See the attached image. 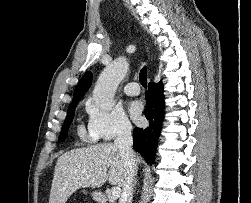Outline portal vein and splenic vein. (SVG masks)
<instances>
[{
  "mask_svg": "<svg viewBox=\"0 0 251 203\" xmlns=\"http://www.w3.org/2000/svg\"><path fill=\"white\" fill-rule=\"evenodd\" d=\"M120 192H121V189L119 187H114V188H112V190L108 196L111 199H117L120 197Z\"/></svg>",
  "mask_w": 251,
  "mask_h": 203,
  "instance_id": "portal-vein-and-splenic-vein-1",
  "label": "portal vein and splenic vein"
}]
</instances>
